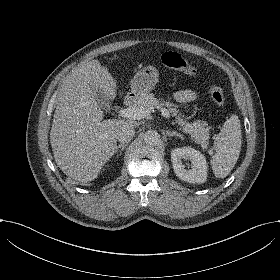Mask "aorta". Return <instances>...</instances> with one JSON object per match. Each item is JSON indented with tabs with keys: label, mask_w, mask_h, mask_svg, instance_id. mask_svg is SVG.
<instances>
[{
	"label": "aorta",
	"mask_w": 280,
	"mask_h": 280,
	"mask_svg": "<svg viewBox=\"0 0 280 280\" xmlns=\"http://www.w3.org/2000/svg\"><path fill=\"white\" fill-rule=\"evenodd\" d=\"M144 142L148 145H156L159 142L160 136L155 130H148L144 133Z\"/></svg>",
	"instance_id": "aorta-1"
}]
</instances>
